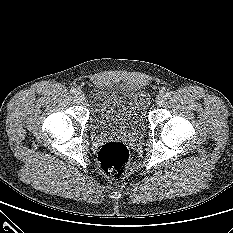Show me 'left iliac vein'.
I'll use <instances>...</instances> for the list:
<instances>
[{
	"label": "left iliac vein",
	"mask_w": 233,
	"mask_h": 233,
	"mask_svg": "<svg viewBox=\"0 0 233 233\" xmlns=\"http://www.w3.org/2000/svg\"><path fill=\"white\" fill-rule=\"evenodd\" d=\"M155 102H156V104L159 105V106L163 105L164 102H165V96L162 95V94L158 95V96L156 97Z\"/></svg>",
	"instance_id": "1"
}]
</instances>
